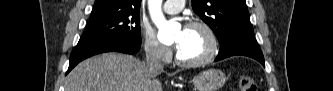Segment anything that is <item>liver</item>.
I'll list each match as a JSON object with an SVG mask.
<instances>
[{
    "label": "liver",
    "instance_id": "1",
    "mask_svg": "<svg viewBox=\"0 0 333 91\" xmlns=\"http://www.w3.org/2000/svg\"><path fill=\"white\" fill-rule=\"evenodd\" d=\"M156 76L133 56L106 53L78 64L66 78L65 91H162Z\"/></svg>",
    "mask_w": 333,
    "mask_h": 91
}]
</instances>
